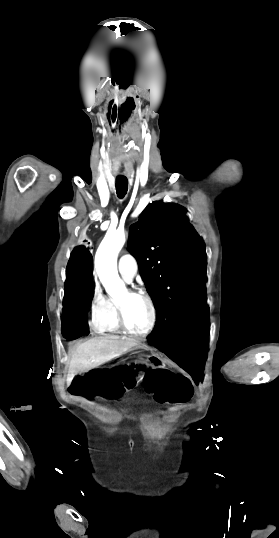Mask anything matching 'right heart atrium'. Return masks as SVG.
I'll list each match as a JSON object with an SVG mask.
<instances>
[{"instance_id": "d8ad5b80", "label": "right heart atrium", "mask_w": 279, "mask_h": 538, "mask_svg": "<svg viewBox=\"0 0 279 538\" xmlns=\"http://www.w3.org/2000/svg\"><path fill=\"white\" fill-rule=\"evenodd\" d=\"M105 297L102 295L100 287L95 284L93 291V306H92V326L96 329V325L102 320L105 312Z\"/></svg>"}]
</instances>
